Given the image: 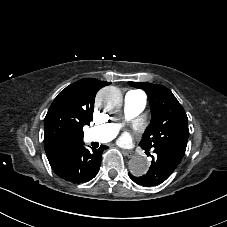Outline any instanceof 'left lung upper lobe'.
I'll use <instances>...</instances> for the list:
<instances>
[{"instance_id": "5c2ea615", "label": "left lung upper lobe", "mask_w": 227, "mask_h": 227, "mask_svg": "<svg viewBox=\"0 0 227 227\" xmlns=\"http://www.w3.org/2000/svg\"><path fill=\"white\" fill-rule=\"evenodd\" d=\"M143 89L151 106L152 119L139 145L146 151L167 150L183 157L189 136L188 118L176 97L162 85L128 82Z\"/></svg>"}]
</instances>
